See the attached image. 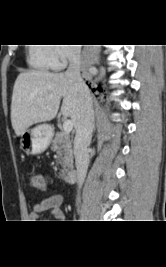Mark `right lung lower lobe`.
<instances>
[{
    "mask_svg": "<svg viewBox=\"0 0 166 267\" xmlns=\"http://www.w3.org/2000/svg\"><path fill=\"white\" fill-rule=\"evenodd\" d=\"M99 91H102V89H101V87L100 86H98V88H97ZM93 90H95V89H93Z\"/></svg>",
    "mask_w": 166,
    "mask_h": 267,
    "instance_id": "obj_1",
    "label": "right lung lower lobe"
}]
</instances>
